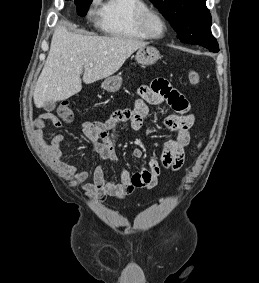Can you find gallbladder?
Listing matches in <instances>:
<instances>
[{
  "mask_svg": "<svg viewBox=\"0 0 259 283\" xmlns=\"http://www.w3.org/2000/svg\"><path fill=\"white\" fill-rule=\"evenodd\" d=\"M56 107V104L54 102H47L43 105V109L46 111H52Z\"/></svg>",
  "mask_w": 259,
  "mask_h": 283,
  "instance_id": "bac80fb5",
  "label": "gallbladder"
}]
</instances>
